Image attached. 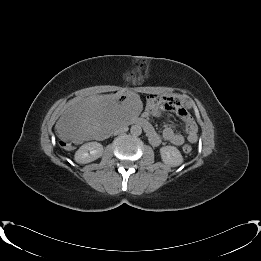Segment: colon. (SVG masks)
Wrapping results in <instances>:
<instances>
[{
	"instance_id": "1",
	"label": "colon",
	"mask_w": 261,
	"mask_h": 261,
	"mask_svg": "<svg viewBox=\"0 0 261 261\" xmlns=\"http://www.w3.org/2000/svg\"><path fill=\"white\" fill-rule=\"evenodd\" d=\"M65 145L68 146L69 144L67 143V144H65ZM183 151H184L186 154H189V153H191V151H192V147H191L190 145L186 144V145L183 147Z\"/></svg>"
}]
</instances>
